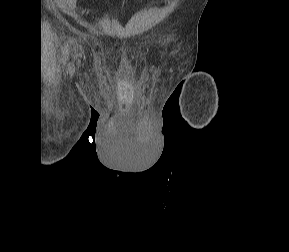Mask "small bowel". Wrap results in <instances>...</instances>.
<instances>
[{"label": "small bowel", "instance_id": "c3829d8e", "mask_svg": "<svg viewBox=\"0 0 289 252\" xmlns=\"http://www.w3.org/2000/svg\"><path fill=\"white\" fill-rule=\"evenodd\" d=\"M64 1L70 9L74 10L76 8L77 0H64Z\"/></svg>", "mask_w": 289, "mask_h": 252}]
</instances>
